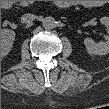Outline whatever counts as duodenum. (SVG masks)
<instances>
[{"label": "duodenum", "instance_id": "obj_1", "mask_svg": "<svg viewBox=\"0 0 109 109\" xmlns=\"http://www.w3.org/2000/svg\"><path fill=\"white\" fill-rule=\"evenodd\" d=\"M57 5L61 8H67L72 5L70 1H57ZM2 7L4 9H9L11 7V3L9 1H4L2 3Z\"/></svg>", "mask_w": 109, "mask_h": 109}]
</instances>
